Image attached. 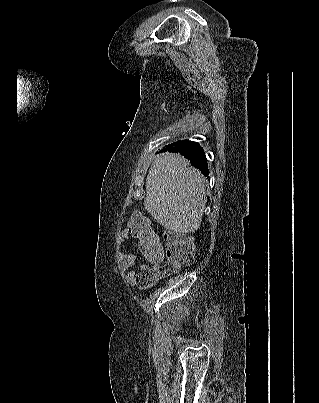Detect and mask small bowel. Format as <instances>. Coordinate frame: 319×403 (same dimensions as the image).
Masks as SVG:
<instances>
[{"instance_id":"small-bowel-1","label":"small bowel","mask_w":319,"mask_h":403,"mask_svg":"<svg viewBox=\"0 0 319 403\" xmlns=\"http://www.w3.org/2000/svg\"><path fill=\"white\" fill-rule=\"evenodd\" d=\"M123 236L125 238H128L130 236H133L131 231H124L123 232ZM136 263V255L133 253H129L123 256L121 262H120V268L123 272H126V279L128 280V282L132 285L136 284L137 282V272L136 271H128L129 269H131L132 267H134ZM150 267L147 264H142L140 266V270L142 271H146L149 270Z\"/></svg>"}]
</instances>
